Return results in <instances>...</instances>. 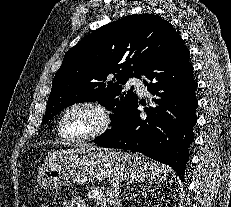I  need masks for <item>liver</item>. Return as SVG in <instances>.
<instances>
[{"label":"liver","instance_id":"1","mask_svg":"<svg viewBox=\"0 0 231 207\" xmlns=\"http://www.w3.org/2000/svg\"><path fill=\"white\" fill-rule=\"evenodd\" d=\"M81 150H88V151H93V150H103V148H99V147H95V146H86L84 148H82ZM64 152L60 151V152H52L50 153L47 157L45 162L47 163L48 161L51 162L54 158H56L57 156L63 154Z\"/></svg>","mask_w":231,"mask_h":207}]
</instances>
